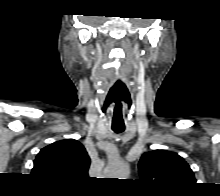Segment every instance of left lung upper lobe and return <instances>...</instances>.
Masks as SVG:
<instances>
[{
  "label": "left lung upper lobe",
  "mask_w": 220,
  "mask_h": 196,
  "mask_svg": "<svg viewBox=\"0 0 220 196\" xmlns=\"http://www.w3.org/2000/svg\"><path fill=\"white\" fill-rule=\"evenodd\" d=\"M139 172L144 182L163 192L179 193L195 184L194 174L184 159L166 150L144 153Z\"/></svg>",
  "instance_id": "5c2ea615"
}]
</instances>
